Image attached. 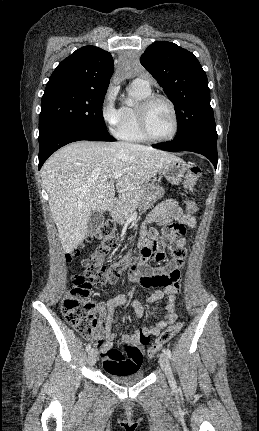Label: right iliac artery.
<instances>
[{
    "mask_svg": "<svg viewBox=\"0 0 259 431\" xmlns=\"http://www.w3.org/2000/svg\"><path fill=\"white\" fill-rule=\"evenodd\" d=\"M90 349H91V344H88V345L86 346V351H87V352H89V351H90Z\"/></svg>",
    "mask_w": 259,
    "mask_h": 431,
    "instance_id": "1",
    "label": "right iliac artery"
}]
</instances>
